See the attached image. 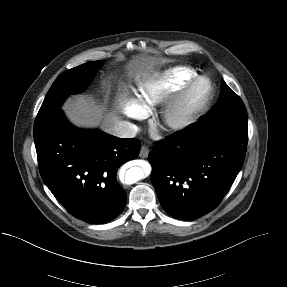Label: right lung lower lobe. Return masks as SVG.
I'll use <instances>...</instances> for the list:
<instances>
[{"mask_svg":"<svg viewBox=\"0 0 287 287\" xmlns=\"http://www.w3.org/2000/svg\"><path fill=\"white\" fill-rule=\"evenodd\" d=\"M34 141L41 177L70 214L102 224L123 211L127 195L116 173L139 155L138 139L76 128L59 107L36 118Z\"/></svg>","mask_w":287,"mask_h":287,"instance_id":"98d812e1","label":"right lung lower lobe"}]
</instances>
